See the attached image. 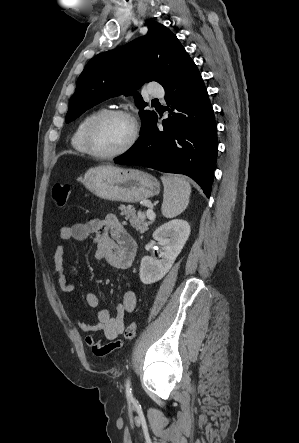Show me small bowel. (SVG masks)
Returning <instances> with one entry per match:
<instances>
[{"label": "small bowel", "mask_w": 299, "mask_h": 443, "mask_svg": "<svg viewBox=\"0 0 299 443\" xmlns=\"http://www.w3.org/2000/svg\"><path fill=\"white\" fill-rule=\"evenodd\" d=\"M58 239L60 241L91 240L94 244L95 260L105 262L117 269L130 268L136 256L135 241L117 217L112 214L107 215L103 220L65 225L59 230ZM64 255L65 247L59 244L53 255L58 284L63 292L72 294L74 286L64 275ZM85 299L89 307L99 308L100 300L96 293L88 292ZM136 305V294L127 289L116 306L114 316L107 308H99L95 323L78 322L80 329L87 333L85 342L95 356L106 357L122 346L123 343L118 337L124 330L125 316L133 312ZM98 332H102L109 342L102 344L97 340L95 334Z\"/></svg>", "instance_id": "obj_1"}]
</instances>
